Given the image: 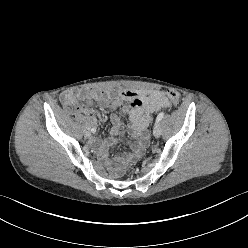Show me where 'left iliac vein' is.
<instances>
[{
	"mask_svg": "<svg viewBox=\"0 0 248 248\" xmlns=\"http://www.w3.org/2000/svg\"><path fill=\"white\" fill-rule=\"evenodd\" d=\"M153 134H154V136L156 138L160 137V135H161V128H160L159 122L158 123H155L154 128H153Z\"/></svg>",
	"mask_w": 248,
	"mask_h": 248,
	"instance_id": "left-iliac-vein-1",
	"label": "left iliac vein"
}]
</instances>
